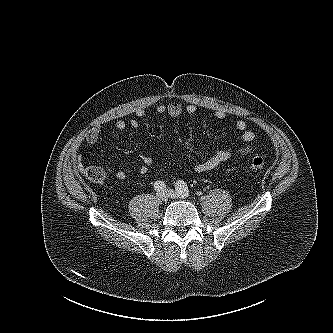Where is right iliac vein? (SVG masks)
<instances>
[{"mask_svg":"<svg viewBox=\"0 0 333 333\" xmlns=\"http://www.w3.org/2000/svg\"><path fill=\"white\" fill-rule=\"evenodd\" d=\"M157 196L161 201H167L168 200V194L165 191L158 192Z\"/></svg>","mask_w":333,"mask_h":333,"instance_id":"63e3f726","label":"right iliac vein"}]
</instances>
